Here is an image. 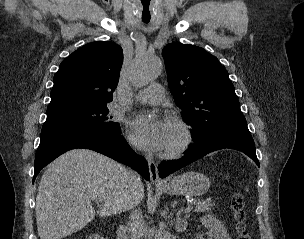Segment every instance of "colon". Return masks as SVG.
<instances>
[{
    "mask_svg": "<svg viewBox=\"0 0 304 239\" xmlns=\"http://www.w3.org/2000/svg\"><path fill=\"white\" fill-rule=\"evenodd\" d=\"M231 207L234 213V218L237 223L238 239H251L245 226V211L243 195L240 192H236L232 197Z\"/></svg>",
    "mask_w": 304,
    "mask_h": 239,
    "instance_id": "1",
    "label": "colon"
}]
</instances>
